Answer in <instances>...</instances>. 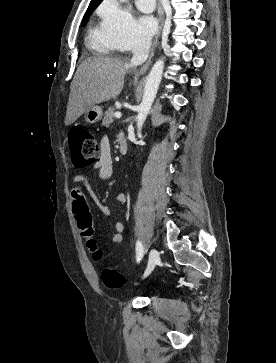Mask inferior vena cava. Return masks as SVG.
<instances>
[{
    "instance_id": "obj_1",
    "label": "inferior vena cava",
    "mask_w": 276,
    "mask_h": 363,
    "mask_svg": "<svg viewBox=\"0 0 276 363\" xmlns=\"http://www.w3.org/2000/svg\"><path fill=\"white\" fill-rule=\"evenodd\" d=\"M151 40V36L148 34L140 35L136 38L132 48V66L141 65L147 60L151 47Z\"/></svg>"
}]
</instances>
